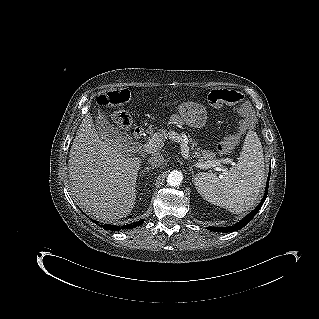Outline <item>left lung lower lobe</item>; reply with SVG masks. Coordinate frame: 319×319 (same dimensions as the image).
<instances>
[{
    "mask_svg": "<svg viewBox=\"0 0 319 319\" xmlns=\"http://www.w3.org/2000/svg\"><path fill=\"white\" fill-rule=\"evenodd\" d=\"M270 176V173H269ZM268 185H269V178L267 180V185H266V190H265V194L263 199L261 200L260 204L250 213L248 214L243 220H241L239 223L230 226V227H208L207 229L214 231V232H233V231H237L241 228H243L256 214L257 212L260 210V208L262 207L266 197H267V192H268Z\"/></svg>",
    "mask_w": 319,
    "mask_h": 319,
    "instance_id": "left-lung-lower-lobe-1",
    "label": "left lung lower lobe"
}]
</instances>
